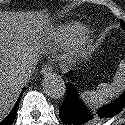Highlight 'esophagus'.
I'll use <instances>...</instances> for the list:
<instances>
[{"label":"esophagus","instance_id":"obj_1","mask_svg":"<svg viewBox=\"0 0 125 125\" xmlns=\"http://www.w3.org/2000/svg\"><path fill=\"white\" fill-rule=\"evenodd\" d=\"M52 71H53V70H52V67H51V66H46V67H44V68L42 69L41 74H42V75L51 74Z\"/></svg>","mask_w":125,"mask_h":125}]
</instances>
